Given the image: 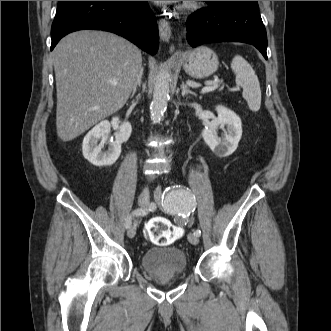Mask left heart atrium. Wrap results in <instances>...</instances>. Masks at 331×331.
I'll return each instance as SVG.
<instances>
[{"mask_svg": "<svg viewBox=\"0 0 331 331\" xmlns=\"http://www.w3.org/2000/svg\"><path fill=\"white\" fill-rule=\"evenodd\" d=\"M153 2H155L156 4L163 5V4L172 3V2H174V1H153Z\"/></svg>", "mask_w": 331, "mask_h": 331, "instance_id": "1", "label": "left heart atrium"}]
</instances>
